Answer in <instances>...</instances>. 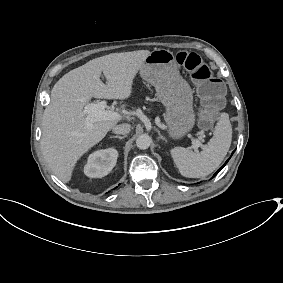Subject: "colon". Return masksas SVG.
<instances>
[{
	"label": "colon",
	"mask_w": 283,
	"mask_h": 283,
	"mask_svg": "<svg viewBox=\"0 0 283 283\" xmlns=\"http://www.w3.org/2000/svg\"><path fill=\"white\" fill-rule=\"evenodd\" d=\"M177 62L184 67L197 86L201 99L199 121L203 127L210 126L222 108L224 99V86L216 78L204 60L192 52L177 54Z\"/></svg>",
	"instance_id": "5ec220e1"
}]
</instances>
